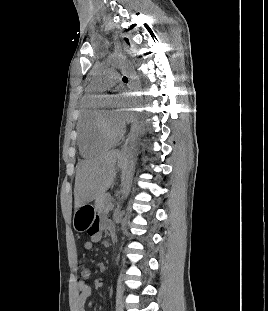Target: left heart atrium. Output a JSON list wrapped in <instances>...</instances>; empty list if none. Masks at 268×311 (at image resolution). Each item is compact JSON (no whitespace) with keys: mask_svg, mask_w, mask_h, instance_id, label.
<instances>
[{"mask_svg":"<svg viewBox=\"0 0 268 311\" xmlns=\"http://www.w3.org/2000/svg\"><path fill=\"white\" fill-rule=\"evenodd\" d=\"M124 96H125V94H116L115 95L118 107L125 104V102L120 100ZM128 110H130V109L118 108L115 110L114 116H115V119L119 125H124L127 122L129 116L126 113V111H128Z\"/></svg>","mask_w":268,"mask_h":311,"instance_id":"39dd6f15","label":"left heart atrium"}]
</instances>
